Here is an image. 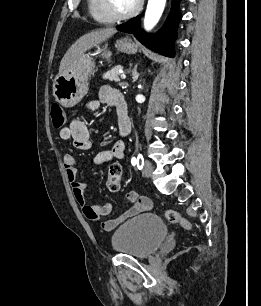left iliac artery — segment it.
<instances>
[{"label":"left iliac artery","instance_id":"obj_1","mask_svg":"<svg viewBox=\"0 0 261 306\" xmlns=\"http://www.w3.org/2000/svg\"><path fill=\"white\" fill-rule=\"evenodd\" d=\"M131 163L133 166H137L138 169H142L144 165V158L142 154H138L137 158L133 157L131 159Z\"/></svg>","mask_w":261,"mask_h":306}]
</instances>
